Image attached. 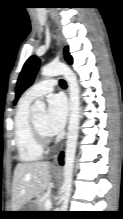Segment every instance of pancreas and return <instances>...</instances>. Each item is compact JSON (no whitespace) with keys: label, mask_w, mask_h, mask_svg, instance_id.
I'll use <instances>...</instances> for the list:
<instances>
[{"label":"pancreas","mask_w":123,"mask_h":219,"mask_svg":"<svg viewBox=\"0 0 123 219\" xmlns=\"http://www.w3.org/2000/svg\"><path fill=\"white\" fill-rule=\"evenodd\" d=\"M35 204H36V208L38 211H46L45 200L43 199V194L37 197Z\"/></svg>","instance_id":"obj_1"}]
</instances>
